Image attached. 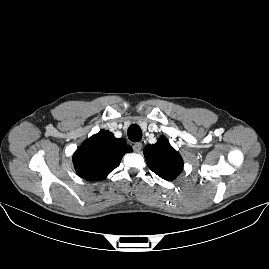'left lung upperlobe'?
I'll return each mask as SVG.
<instances>
[{"instance_id": "5c2ea615", "label": "left lung upper lobe", "mask_w": 269, "mask_h": 269, "mask_svg": "<svg viewBox=\"0 0 269 269\" xmlns=\"http://www.w3.org/2000/svg\"><path fill=\"white\" fill-rule=\"evenodd\" d=\"M144 156L148 167L165 180H174L183 169L180 154L165 137H160L156 144L147 145Z\"/></svg>"}]
</instances>
